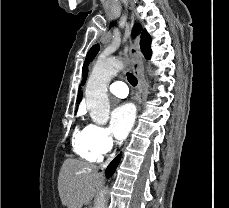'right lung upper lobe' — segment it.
Instances as JSON below:
<instances>
[{"instance_id":"1","label":"right lung upper lobe","mask_w":229,"mask_h":208,"mask_svg":"<svg viewBox=\"0 0 229 208\" xmlns=\"http://www.w3.org/2000/svg\"><path fill=\"white\" fill-rule=\"evenodd\" d=\"M86 78H87V70H86L84 77H83V80L81 82L82 86L84 85ZM81 99H82V91H79L78 96H77V103H79L81 101Z\"/></svg>"}]
</instances>
